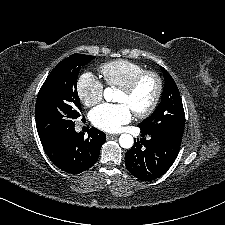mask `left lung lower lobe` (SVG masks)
<instances>
[{"mask_svg": "<svg viewBox=\"0 0 225 225\" xmlns=\"http://www.w3.org/2000/svg\"><path fill=\"white\" fill-rule=\"evenodd\" d=\"M151 139L134 142L125 154V164L129 172L142 181H151L162 176L178 156L182 137L167 132H142Z\"/></svg>", "mask_w": 225, "mask_h": 225, "instance_id": "1", "label": "left lung lower lobe"}]
</instances>
